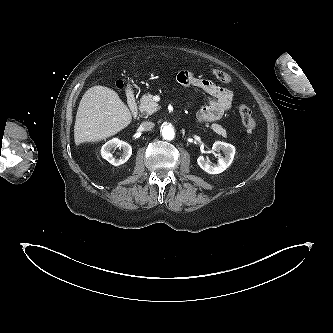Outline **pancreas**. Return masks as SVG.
I'll use <instances>...</instances> for the list:
<instances>
[{
	"instance_id": "obj_1",
	"label": "pancreas",
	"mask_w": 333,
	"mask_h": 333,
	"mask_svg": "<svg viewBox=\"0 0 333 333\" xmlns=\"http://www.w3.org/2000/svg\"><path fill=\"white\" fill-rule=\"evenodd\" d=\"M159 106L155 103L152 99V94L147 93L142 96L140 99L139 110L142 116L148 117L149 115L153 114L158 110ZM206 126L209 127V124L206 123ZM210 128L223 137H226V130L219 124L213 123L211 124Z\"/></svg>"
}]
</instances>
